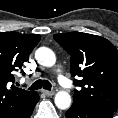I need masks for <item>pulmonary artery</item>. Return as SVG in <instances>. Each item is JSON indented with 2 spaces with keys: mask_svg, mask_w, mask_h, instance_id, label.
<instances>
[{
  "mask_svg": "<svg viewBox=\"0 0 118 118\" xmlns=\"http://www.w3.org/2000/svg\"><path fill=\"white\" fill-rule=\"evenodd\" d=\"M57 80L58 82L66 89L71 88V83L70 81L65 77V75L59 70L57 71Z\"/></svg>",
  "mask_w": 118,
  "mask_h": 118,
  "instance_id": "1",
  "label": "pulmonary artery"
}]
</instances>
